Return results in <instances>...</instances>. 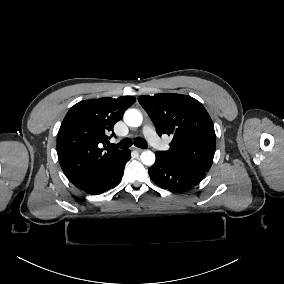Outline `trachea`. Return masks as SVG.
I'll list each match as a JSON object with an SVG mask.
<instances>
[{
    "mask_svg": "<svg viewBox=\"0 0 284 284\" xmlns=\"http://www.w3.org/2000/svg\"><path fill=\"white\" fill-rule=\"evenodd\" d=\"M132 144L133 142L130 138H125L122 141H120L118 144H111L110 147L111 148H128V147H131ZM134 145L141 149L147 148V142L141 137H138L135 139Z\"/></svg>",
    "mask_w": 284,
    "mask_h": 284,
    "instance_id": "trachea-1",
    "label": "trachea"
}]
</instances>
